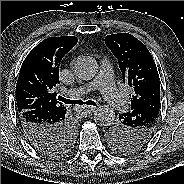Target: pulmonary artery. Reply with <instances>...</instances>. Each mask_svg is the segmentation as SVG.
Here are the masks:
<instances>
[{
    "label": "pulmonary artery",
    "mask_w": 184,
    "mask_h": 184,
    "mask_svg": "<svg viewBox=\"0 0 184 184\" xmlns=\"http://www.w3.org/2000/svg\"><path fill=\"white\" fill-rule=\"evenodd\" d=\"M96 87H99L105 100L115 111L123 112L128 108V101L124 93L119 91L113 82V66L108 60L101 62L100 71L94 81L74 88L68 94L72 97H79Z\"/></svg>",
    "instance_id": "1"
}]
</instances>
